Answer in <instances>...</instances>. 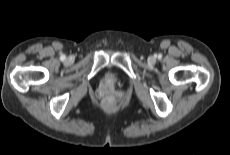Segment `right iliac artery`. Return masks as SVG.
Instances as JSON below:
<instances>
[{
	"mask_svg": "<svg viewBox=\"0 0 230 155\" xmlns=\"http://www.w3.org/2000/svg\"><path fill=\"white\" fill-rule=\"evenodd\" d=\"M61 60H64L65 59V55H61Z\"/></svg>",
	"mask_w": 230,
	"mask_h": 155,
	"instance_id": "1",
	"label": "right iliac artery"
}]
</instances>
